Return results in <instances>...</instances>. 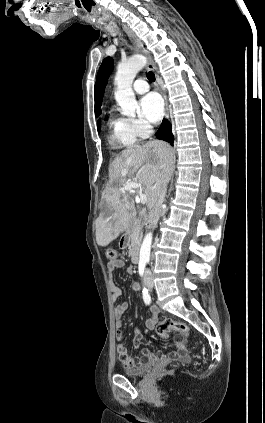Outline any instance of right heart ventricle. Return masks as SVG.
I'll list each match as a JSON object with an SVG mask.
<instances>
[{"mask_svg": "<svg viewBox=\"0 0 265 423\" xmlns=\"http://www.w3.org/2000/svg\"><path fill=\"white\" fill-rule=\"evenodd\" d=\"M109 142L113 146L132 145L136 142L133 136L128 119L111 116L108 120Z\"/></svg>", "mask_w": 265, "mask_h": 423, "instance_id": "e07e8e85", "label": "right heart ventricle"}]
</instances>
